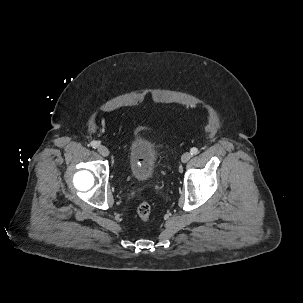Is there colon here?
Masks as SVG:
<instances>
[{
	"instance_id": "1",
	"label": "colon",
	"mask_w": 303,
	"mask_h": 303,
	"mask_svg": "<svg viewBox=\"0 0 303 303\" xmlns=\"http://www.w3.org/2000/svg\"><path fill=\"white\" fill-rule=\"evenodd\" d=\"M137 214L143 222H151V206L147 201L140 203L137 207Z\"/></svg>"
}]
</instances>
